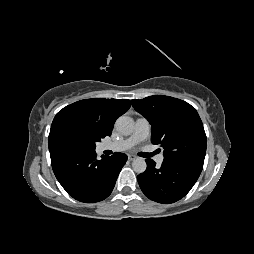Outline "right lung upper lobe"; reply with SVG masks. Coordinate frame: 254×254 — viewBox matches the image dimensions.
<instances>
[{"instance_id": "cb5924a9", "label": "right lung upper lobe", "mask_w": 254, "mask_h": 254, "mask_svg": "<svg viewBox=\"0 0 254 254\" xmlns=\"http://www.w3.org/2000/svg\"><path fill=\"white\" fill-rule=\"evenodd\" d=\"M131 106L128 99L94 98L77 101L60 110L53 119L48 138L49 151L71 148L65 133L72 126L89 129L100 138L110 136L116 119Z\"/></svg>"}]
</instances>
